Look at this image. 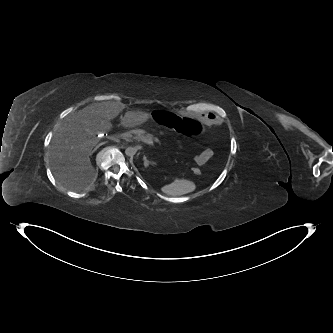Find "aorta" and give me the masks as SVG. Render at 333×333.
<instances>
[{
	"mask_svg": "<svg viewBox=\"0 0 333 333\" xmlns=\"http://www.w3.org/2000/svg\"><path fill=\"white\" fill-rule=\"evenodd\" d=\"M136 152H137V149L135 147L130 146L125 149V154L130 157H133L136 154Z\"/></svg>",
	"mask_w": 333,
	"mask_h": 333,
	"instance_id": "1",
	"label": "aorta"
}]
</instances>
